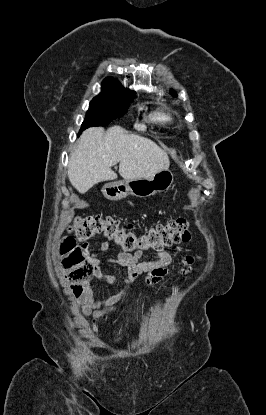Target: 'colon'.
Masks as SVG:
<instances>
[{
	"instance_id": "obj_1",
	"label": "colon",
	"mask_w": 266,
	"mask_h": 415,
	"mask_svg": "<svg viewBox=\"0 0 266 415\" xmlns=\"http://www.w3.org/2000/svg\"><path fill=\"white\" fill-rule=\"evenodd\" d=\"M70 232L73 236L64 238L60 243V255L63 272L72 283L75 293L80 292L83 284L88 283L94 273V264L86 247L79 246L77 241L103 235L129 253L137 250H161L190 239L188 222L181 218L167 224H159L146 233L137 235L123 227L115 217H77L70 227Z\"/></svg>"
}]
</instances>
